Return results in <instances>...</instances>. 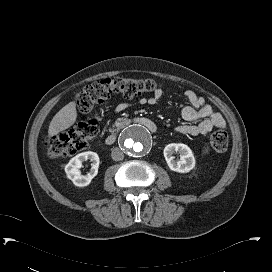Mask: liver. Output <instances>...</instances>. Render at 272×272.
Wrapping results in <instances>:
<instances>
[{"label":"liver","instance_id":"6515ba94","mask_svg":"<svg viewBox=\"0 0 272 272\" xmlns=\"http://www.w3.org/2000/svg\"><path fill=\"white\" fill-rule=\"evenodd\" d=\"M77 118L76 103L74 101L65 105L50 122L48 136L52 137L71 127Z\"/></svg>","mask_w":272,"mask_h":272}]
</instances>
